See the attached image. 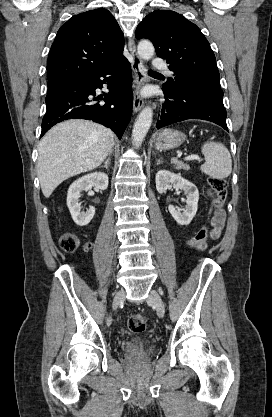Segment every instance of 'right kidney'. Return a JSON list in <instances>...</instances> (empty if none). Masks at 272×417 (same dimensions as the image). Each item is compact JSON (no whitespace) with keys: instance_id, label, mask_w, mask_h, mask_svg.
<instances>
[{"instance_id":"ca27d5eb","label":"right kidney","mask_w":272,"mask_h":417,"mask_svg":"<svg viewBox=\"0 0 272 417\" xmlns=\"http://www.w3.org/2000/svg\"><path fill=\"white\" fill-rule=\"evenodd\" d=\"M92 187L106 190L108 187V176L101 172L91 173L74 181L68 189L67 206L73 221L78 226L88 225L95 214V208L93 206H90L86 212H82L81 204L79 203L81 192L88 191Z\"/></svg>"}]
</instances>
